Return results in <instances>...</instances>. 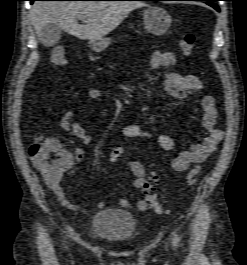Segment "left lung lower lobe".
Instances as JSON below:
<instances>
[{"label":"left lung lower lobe","mask_w":247,"mask_h":265,"mask_svg":"<svg viewBox=\"0 0 247 265\" xmlns=\"http://www.w3.org/2000/svg\"><path fill=\"white\" fill-rule=\"evenodd\" d=\"M144 1H166V0H144ZM187 1H203V0H187ZM213 8H215L216 10L219 11L218 6L214 5V4H210Z\"/></svg>","instance_id":"1"}]
</instances>
